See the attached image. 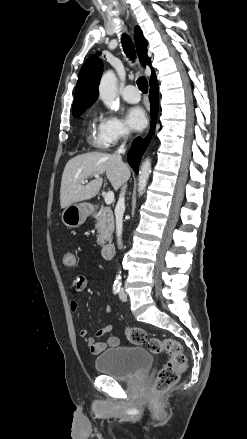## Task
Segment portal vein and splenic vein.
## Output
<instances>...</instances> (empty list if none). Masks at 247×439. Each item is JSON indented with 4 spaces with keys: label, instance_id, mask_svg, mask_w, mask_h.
I'll return each instance as SVG.
<instances>
[{
    "label": "portal vein and splenic vein",
    "instance_id": "portal-vein-and-splenic-vein-1",
    "mask_svg": "<svg viewBox=\"0 0 247 439\" xmlns=\"http://www.w3.org/2000/svg\"><path fill=\"white\" fill-rule=\"evenodd\" d=\"M94 177H95V178H99V175L96 174V175H94ZM85 183H87V181H82V184H85ZM104 199H105V203H106L107 205H110V204L114 201V193H113L112 191H108V192L106 193Z\"/></svg>",
    "mask_w": 247,
    "mask_h": 439
}]
</instances>
